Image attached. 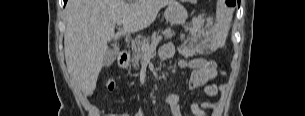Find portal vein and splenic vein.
Masks as SVG:
<instances>
[{
  "instance_id": "18ae733b",
  "label": "portal vein and splenic vein",
  "mask_w": 305,
  "mask_h": 116,
  "mask_svg": "<svg viewBox=\"0 0 305 116\" xmlns=\"http://www.w3.org/2000/svg\"><path fill=\"white\" fill-rule=\"evenodd\" d=\"M121 25H122V21H118V22H117V26L120 27ZM161 40H162V37H161V36H158V37H156V38L152 41V43H151L150 45H149V44H144V45H142L141 50H142L144 53L150 54V53H152V52L155 50L156 46L158 45V43H159Z\"/></svg>"
}]
</instances>
